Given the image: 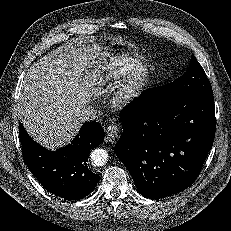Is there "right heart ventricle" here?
Returning <instances> with one entry per match:
<instances>
[{"instance_id": "e07e8e85", "label": "right heart ventricle", "mask_w": 231, "mask_h": 231, "mask_svg": "<svg viewBox=\"0 0 231 231\" xmlns=\"http://www.w3.org/2000/svg\"><path fill=\"white\" fill-rule=\"evenodd\" d=\"M141 64V60L132 56H115L97 64L89 73V82L93 87L101 88L119 82L134 68Z\"/></svg>"}]
</instances>
